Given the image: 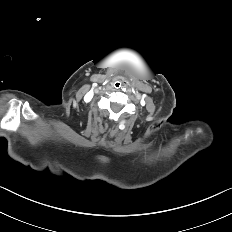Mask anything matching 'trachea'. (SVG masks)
Here are the masks:
<instances>
[{"label": "trachea", "instance_id": "3493384b", "mask_svg": "<svg viewBox=\"0 0 232 232\" xmlns=\"http://www.w3.org/2000/svg\"><path fill=\"white\" fill-rule=\"evenodd\" d=\"M113 87L117 90L121 89L123 87V83L121 81H115L113 83Z\"/></svg>", "mask_w": 232, "mask_h": 232}]
</instances>
